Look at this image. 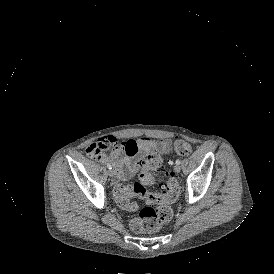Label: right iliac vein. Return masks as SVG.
I'll use <instances>...</instances> for the list:
<instances>
[{"instance_id":"1","label":"right iliac vein","mask_w":274,"mask_h":274,"mask_svg":"<svg viewBox=\"0 0 274 274\" xmlns=\"http://www.w3.org/2000/svg\"><path fill=\"white\" fill-rule=\"evenodd\" d=\"M108 175L112 178V181H113V182L116 181L115 178H114V171H113V170L110 169V170L108 171Z\"/></svg>"}]
</instances>
